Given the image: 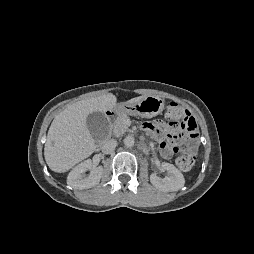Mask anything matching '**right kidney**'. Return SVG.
I'll use <instances>...</instances> for the list:
<instances>
[{"instance_id":"ca27d5eb","label":"right kidney","mask_w":254,"mask_h":254,"mask_svg":"<svg viewBox=\"0 0 254 254\" xmlns=\"http://www.w3.org/2000/svg\"><path fill=\"white\" fill-rule=\"evenodd\" d=\"M90 170L89 176L85 172ZM103 167L94 166L91 160H86L77 165L68 175L67 184L74 189H89L96 186L102 177Z\"/></svg>"}]
</instances>
